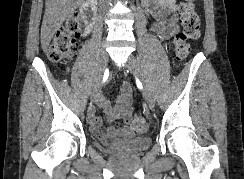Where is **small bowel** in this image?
<instances>
[{"label": "small bowel", "instance_id": "1", "mask_svg": "<svg viewBox=\"0 0 244 179\" xmlns=\"http://www.w3.org/2000/svg\"><path fill=\"white\" fill-rule=\"evenodd\" d=\"M149 12L150 10L147 9V14ZM172 12L173 6L171 3L159 2L154 6V15L157 22L152 25L151 31L154 35L159 36L166 42L168 38L177 31V26L169 18ZM131 91V85L127 82H123L121 84L120 93L115 99V103L111 104L103 97H98V102L106 112L109 125L104 127L101 118L95 114L94 109H90L91 122L96 133L103 136L105 139L116 136L130 137L135 132V127H144L132 126Z\"/></svg>", "mask_w": 244, "mask_h": 179}]
</instances>
